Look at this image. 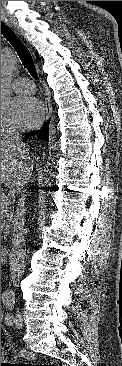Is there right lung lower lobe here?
I'll list each match as a JSON object with an SVG mask.
<instances>
[{
    "mask_svg": "<svg viewBox=\"0 0 122 366\" xmlns=\"http://www.w3.org/2000/svg\"><path fill=\"white\" fill-rule=\"evenodd\" d=\"M48 127H49V121H48V122H46V123L42 126V128H41L40 130H38V131H34V132H30V133H27V134L25 135V139H27V138H28L29 136H31V135L36 134V135L40 136V137L42 138V140L47 141V140H48V138H49V129H48Z\"/></svg>",
    "mask_w": 122,
    "mask_h": 366,
    "instance_id": "98d812e1",
    "label": "right lung lower lobe"
}]
</instances>
